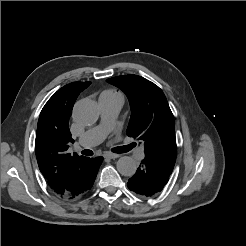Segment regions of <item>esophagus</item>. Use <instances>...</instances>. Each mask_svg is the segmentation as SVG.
<instances>
[{"mask_svg": "<svg viewBox=\"0 0 246 246\" xmlns=\"http://www.w3.org/2000/svg\"><path fill=\"white\" fill-rule=\"evenodd\" d=\"M104 157L105 158H109V159H116V158L120 157V155L119 154H115V153H111V152H106L104 154Z\"/></svg>", "mask_w": 246, "mask_h": 246, "instance_id": "esophagus-1", "label": "esophagus"}]
</instances>
